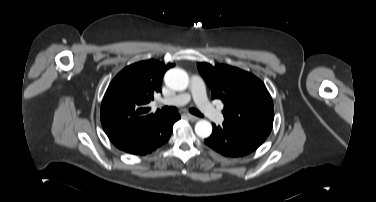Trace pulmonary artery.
<instances>
[{"label": "pulmonary artery", "instance_id": "obj_1", "mask_svg": "<svg viewBox=\"0 0 376 202\" xmlns=\"http://www.w3.org/2000/svg\"><path fill=\"white\" fill-rule=\"evenodd\" d=\"M193 98L197 107L204 115L215 123L224 120L223 114L215 108L208 100L205 92V85L201 77L194 75L190 80V93H181L175 97L165 100V104L185 105Z\"/></svg>", "mask_w": 376, "mask_h": 202}]
</instances>
